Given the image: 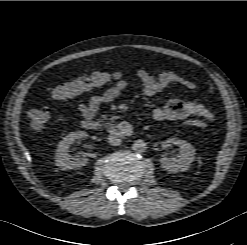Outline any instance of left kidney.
Wrapping results in <instances>:
<instances>
[{"label": "left kidney", "instance_id": "1", "mask_svg": "<svg viewBox=\"0 0 247 245\" xmlns=\"http://www.w3.org/2000/svg\"><path fill=\"white\" fill-rule=\"evenodd\" d=\"M166 143L178 146L180 152L177 158L162 156L160 160L161 166L172 173L188 170L194 160L195 148L185 140L178 138H168Z\"/></svg>", "mask_w": 247, "mask_h": 245}]
</instances>
